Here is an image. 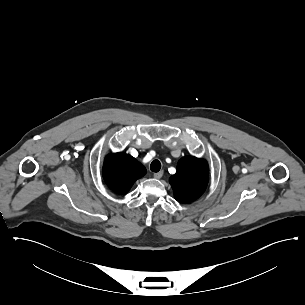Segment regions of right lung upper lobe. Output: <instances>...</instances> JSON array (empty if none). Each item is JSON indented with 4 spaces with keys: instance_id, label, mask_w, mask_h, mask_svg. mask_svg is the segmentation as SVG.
Segmentation results:
<instances>
[{
    "instance_id": "obj_1",
    "label": "right lung upper lobe",
    "mask_w": 305,
    "mask_h": 305,
    "mask_svg": "<svg viewBox=\"0 0 305 305\" xmlns=\"http://www.w3.org/2000/svg\"><path fill=\"white\" fill-rule=\"evenodd\" d=\"M145 174V167L125 153L108 155L103 166V178L106 184L118 194L127 193L133 183Z\"/></svg>"
}]
</instances>
